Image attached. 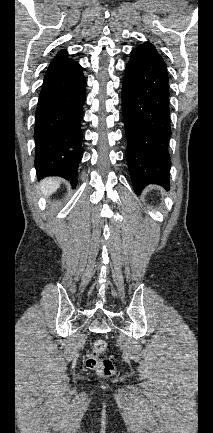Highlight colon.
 I'll return each instance as SVG.
<instances>
[{
	"mask_svg": "<svg viewBox=\"0 0 213 433\" xmlns=\"http://www.w3.org/2000/svg\"><path fill=\"white\" fill-rule=\"evenodd\" d=\"M107 348L108 344L105 340L94 341L91 350L86 355V366L102 375H109L113 371L114 365L110 359L102 357Z\"/></svg>",
	"mask_w": 213,
	"mask_h": 433,
	"instance_id": "colon-1",
	"label": "colon"
}]
</instances>
